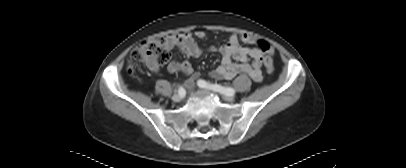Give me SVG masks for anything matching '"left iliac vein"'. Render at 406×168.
Masks as SVG:
<instances>
[{
	"label": "left iliac vein",
	"instance_id": "1",
	"mask_svg": "<svg viewBox=\"0 0 406 168\" xmlns=\"http://www.w3.org/2000/svg\"><path fill=\"white\" fill-rule=\"evenodd\" d=\"M208 91H210V90H208ZM213 92V91H212ZM223 98L226 100V101H233L234 100V95H224L223 96Z\"/></svg>",
	"mask_w": 406,
	"mask_h": 168
}]
</instances>
